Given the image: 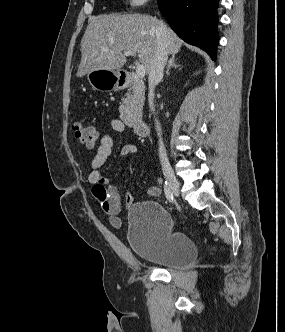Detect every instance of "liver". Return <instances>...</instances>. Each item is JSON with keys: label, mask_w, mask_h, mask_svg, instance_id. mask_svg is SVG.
I'll return each instance as SVG.
<instances>
[{"label": "liver", "mask_w": 285, "mask_h": 332, "mask_svg": "<svg viewBox=\"0 0 285 332\" xmlns=\"http://www.w3.org/2000/svg\"><path fill=\"white\" fill-rule=\"evenodd\" d=\"M160 20L149 15H101L91 18L81 40L77 77L97 69L119 70L127 61L124 51L139 53V62L150 72L157 50ZM168 52L177 53L182 40L166 26Z\"/></svg>", "instance_id": "6515ba94"}]
</instances>
